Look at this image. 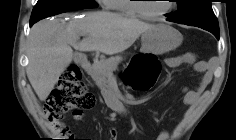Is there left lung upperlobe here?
Returning a JSON list of instances; mask_svg holds the SVG:
<instances>
[{"label": "left lung upper lobe", "mask_w": 236, "mask_h": 140, "mask_svg": "<svg viewBox=\"0 0 236 140\" xmlns=\"http://www.w3.org/2000/svg\"><path fill=\"white\" fill-rule=\"evenodd\" d=\"M178 11L165 16L179 24L196 26L211 32L217 39L220 35L217 18L211 0H176Z\"/></svg>", "instance_id": "left-lung-upper-lobe-1"}]
</instances>
